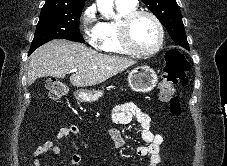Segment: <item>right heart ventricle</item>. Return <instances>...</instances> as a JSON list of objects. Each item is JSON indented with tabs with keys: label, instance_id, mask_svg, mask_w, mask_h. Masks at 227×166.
<instances>
[{
	"label": "right heart ventricle",
	"instance_id": "right-heart-ventricle-1",
	"mask_svg": "<svg viewBox=\"0 0 227 166\" xmlns=\"http://www.w3.org/2000/svg\"><path fill=\"white\" fill-rule=\"evenodd\" d=\"M118 16L114 20H105L100 23L101 37L98 48L101 51L115 54H126L127 51L122 47L118 38V23L122 17L135 11L136 6H128L116 2Z\"/></svg>",
	"mask_w": 227,
	"mask_h": 166
}]
</instances>
